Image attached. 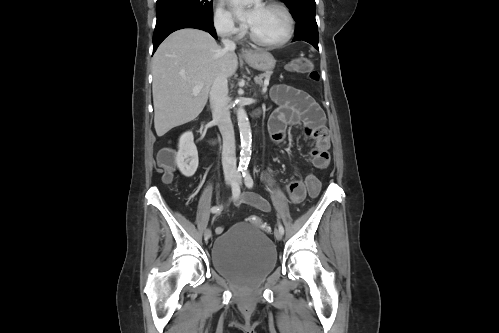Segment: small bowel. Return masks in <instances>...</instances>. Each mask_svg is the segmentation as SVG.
<instances>
[{"instance_id":"obj_1","label":"small bowel","mask_w":499,"mask_h":333,"mask_svg":"<svg viewBox=\"0 0 499 333\" xmlns=\"http://www.w3.org/2000/svg\"><path fill=\"white\" fill-rule=\"evenodd\" d=\"M272 99L278 108L272 112L268 121V130L275 143H282L290 126L301 124L305 134L313 140L310 151L312 164L317 169H326L330 164V133L325 125V116L321 107L305 91L284 84L275 85L271 90ZM272 183L271 180H269ZM285 191L291 203L298 204L306 196L304 183L293 180L286 184ZM235 204L250 205L260 211L269 212L270 203L252 193L239 195ZM224 230L218 227L217 232Z\"/></svg>"}]
</instances>
